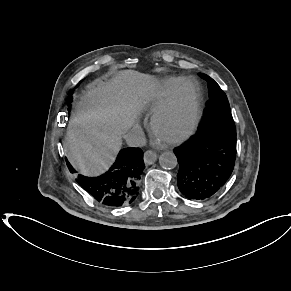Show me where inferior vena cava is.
Returning a JSON list of instances; mask_svg holds the SVG:
<instances>
[{
  "mask_svg": "<svg viewBox=\"0 0 291 291\" xmlns=\"http://www.w3.org/2000/svg\"><path fill=\"white\" fill-rule=\"evenodd\" d=\"M130 147H143L146 144L145 135L140 127H136L123 135Z\"/></svg>",
  "mask_w": 291,
  "mask_h": 291,
  "instance_id": "602c4592",
  "label": "inferior vena cava"
}]
</instances>
